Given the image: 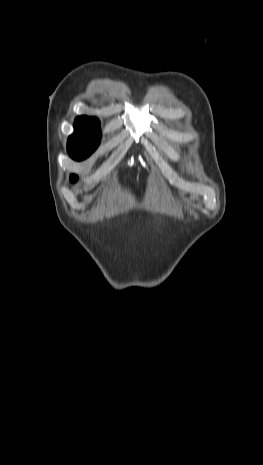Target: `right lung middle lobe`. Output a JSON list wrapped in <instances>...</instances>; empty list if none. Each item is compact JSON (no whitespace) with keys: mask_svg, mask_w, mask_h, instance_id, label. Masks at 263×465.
<instances>
[{"mask_svg":"<svg viewBox=\"0 0 263 465\" xmlns=\"http://www.w3.org/2000/svg\"><path fill=\"white\" fill-rule=\"evenodd\" d=\"M74 133L68 138L67 150L74 160L87 158L98 147L101 138L99 123L75 120ZM76 175H71L70 181L75 182Z\"/></svg>","mask_w":263,"mask_h":465,"instance_id":"1","label":"right lung middle lobe"}]
</instances>
